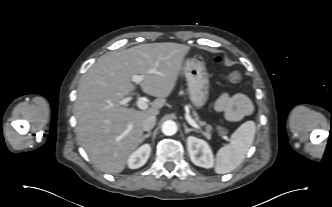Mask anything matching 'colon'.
I'll return each instance as SVG.
<instances>
[{
	"mask_svg": "<svg viewBox=\"0 0 332 207\" xmlns=\"http://www.w3.org/2000/svg\"><path fill=\"white\" fill-rule=\"evenodd\" d=\"M216 62L220 61V58H215ZM227 79L231 83H237L241 79V74L237 70H231L227 74ZM227 129L223 126L218 127L217 133L219 137H225L227 135Z\"/></svg>",
	"mask_w": 332,
	"mask_h": 207,
	"instance_id": "colon-1",
	"label": "colon"
}]
</instances>
